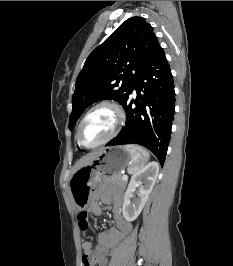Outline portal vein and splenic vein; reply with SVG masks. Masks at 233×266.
<instances>
[{"instance_id": "portal-vein-and-splenic-vein-1", "label": "portal vein and splenic vein", "mask_w": 233, "mask_h": 266, "mask_svg": "<svg viewBox=\"0 0 233 266\" xmlns=\"http://www.w3.org/2000/svg\"><path fill=\"white\" fill-rule=\"evenodd\" d=\"M122 179H123L124 181H126V180L128 179V176H127V175H123V176H122Z\"/></svg>"}]
</instances>
